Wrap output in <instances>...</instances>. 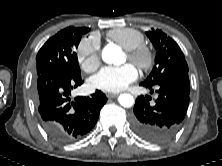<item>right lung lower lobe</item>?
I'll return each instance as SVG.
<instances>
[{
	"mask_svg": "<svg viewBox=\"0 0 222 166\" xmlns=\"http://www.w3.org/2000/svg\"><path fill=\"white\" fill-rule=\"evenodd\" d=\"M81 76L62 69L37 76L35 103L47 134L58 143H69L86 135L96 124L107 98L97 90L90 97L71 99V91L81 85Z\"/></svg>",
	"mask_w": 222,
	"mask_h": 166,
	"instance_id": "obj_1",
	"label": "right lung lower lobe"
}]
</instances>
